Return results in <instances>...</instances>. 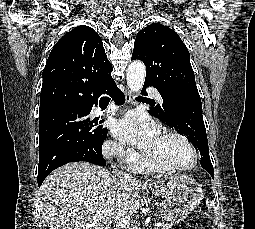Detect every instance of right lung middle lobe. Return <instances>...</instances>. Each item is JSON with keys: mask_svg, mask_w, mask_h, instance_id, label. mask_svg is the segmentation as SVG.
Instances as JSON below:
<instances>
[{"mask_svg": "<svg viewBox=\"0 0 255 229\" xmlns=\"http://www.w3.org/2000/svg\"><path fill=\"white\" fill-rule=\"evenodd\" d=\"M80 110H59L39 117L38 173L75 161L103 158L102 144L107 129L87 118Z\"/></svg>", "mask_w": 255, "mask_h": 229, "instance_id": "obj_1", "label": "right lung middle lobe"}]
</instances>
